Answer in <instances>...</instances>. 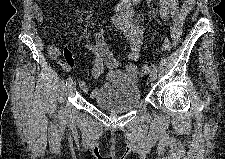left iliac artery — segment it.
<instances>
[{"mask_svg": "<svg viewBox=\"0 0 225 159\" xmlns=\"http://www.w3.org/2000/svg\"><path fill=\"white\" fill-rule=\"evenodd\" d=\"M154 70L158 72V67L157 66H154Z\"/></svg>", "mask_w": 225, "mask_h": 159, "instance_id": "left-iliac-artery-1", "label": "left iliac artery"}]
</instances>
